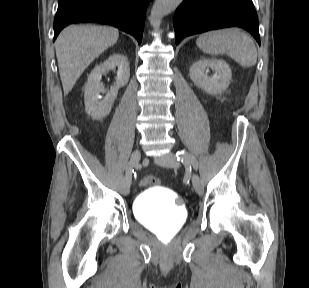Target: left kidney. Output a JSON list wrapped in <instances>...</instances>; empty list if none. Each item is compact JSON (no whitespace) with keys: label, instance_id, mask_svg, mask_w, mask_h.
I'll list each match as a JSON object with an SVG mask.
<instances>
[{"label":"left kidney","instance_id":"obj_1","mask_svg":"<svg viewBox=\"0 0 309 288\" xmlns=\"http://www.w3.org/2000/svg\"><path fill=\"white\" fill-rule=\"evenodd\" d=\"M215 71L208 76L209 69ZM190 78L196 86L208 94H221L231 81L232 73L229 65L222 59L201 58L190 67Z\"/></svg>","mask_w":309,"mask_h":288}]
</instances>
